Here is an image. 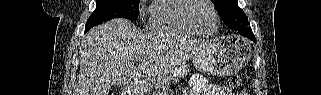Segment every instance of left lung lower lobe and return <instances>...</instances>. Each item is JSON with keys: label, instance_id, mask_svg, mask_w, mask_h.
I'll use <instances>...</instances> for the list:
<instances>
[{"label": "left lung lower lobe", "instance_id": "obj_1", "mask_svg": "<svg viewBox=\"0 0 321 95\" xmlns=\"http://www.w3.org/2000/svg\"><path fill=\"white\" fill-rule=\"evenodd\" d=\"M236 32L238 34H241L243 36H246L248 37L249 39L253 40L254 42H256V39H255V36L253 35L252 33V30L250 27L246 26V27H243V28H240L238 30H236Z\"/></svg>", "mask_w": 321, "mask_h": 95}]
</instances>
